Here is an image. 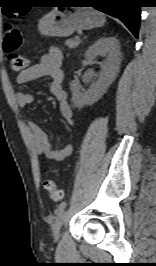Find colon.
<instances>
[{
	"label": "colon",
	"mask_w": 156,
	"mask_h": 266,
	"mask_svg": "<svg viewBox=\"0 0 156 266\" xmlns=\"http://www.w3.org/2000/svg\"><path fill=\"white\" fill-rule=\"evenodd\" d=\"M20 15L24 14L20 13ZM21 45V32L15 27L7 26L3 41V47L4 50L8 53V62L14 72H22L27 67V59L16 52L21 47ZM44 188L49 197L54 201L60 200L63 196L62 191L57 187L55 181L51 178H48L44 181Z\"/></svg>",
	"instance_id": "colon-1"
}]
</instances>
